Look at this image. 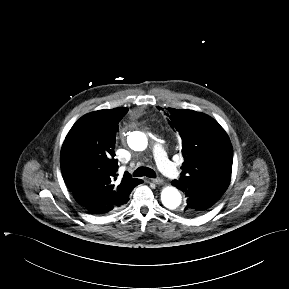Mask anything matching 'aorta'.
I'll list each match as a JSON object with an SVG mask.
<instances>
[{
    "instance_id": "obj_1",
    "label": "aorta",
    "mask_w": 289,
    "mask_h": 289,
    "mask_svg": "<svg viewBox=\"0 0 289 289\" xmlns=\"http://www.w3.org/2000/svg\"><path fill=\"white\" fill-rule=\"evenodd\" d=\"M128 145L134 151H143L146 149L148 141L142 132H133L127 139ZM162 204L169 210H175L181 204L182 197L175 187H165L161 192Z\"/></svg>"
}]
</instances>
